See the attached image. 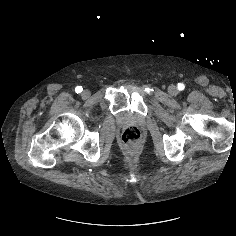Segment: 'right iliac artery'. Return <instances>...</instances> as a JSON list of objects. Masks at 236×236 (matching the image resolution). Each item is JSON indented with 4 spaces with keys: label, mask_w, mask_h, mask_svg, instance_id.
<instances>
[{
    "label": "right iliac artery",
    "mask_w": 236,
    "mask_h": 236,
    "mask_svg": "<svg viewBox=\"0 0 236 236\" xmlns=\"http://www.w3.org/2000/svg\"><path fill=\"white\" fill-rule=\"evenodd\" d=\"M82 90H83V88H82L81 86H77V87L75 88V92H76V93H81Z\"/></svg>",
    "instance_id": "obj_1"
}]
</instances>
